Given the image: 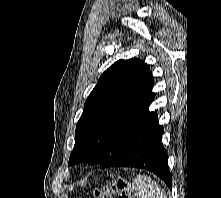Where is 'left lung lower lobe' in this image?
Here are the masks:
<instances>
[{
  "label": "left lung lower lobe",
  "instance_id": "1",
  "mask_svg": "<svg viewBox=\"0 0 221 198\" xmlns=\"http://www.w3.org/2000/svg\"><path fill=\"white\" fill-rule=\"evenodd\" d=\"M163 131V127L158 124V115L153 113L100 167L147 169L158 175L171 188L172 175L168 170L167 152L161 144Z\"/></svg>",
  "mask_w": 221,
  "mask_h": 198
}]
</instances>
